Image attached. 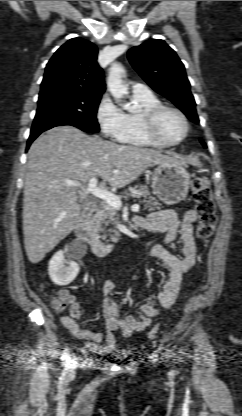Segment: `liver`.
Listing matches in <instances>:
<instances>
[{"label": "liver", "instance_id": "obj_1", "mask_svg": "<svg viewBox=\"0 0 242 416\" xmlns=\"http://www.w3.org/2000/svg\"><path fill=\"white\" fill-rule=\"evenodd\" d=\"M28 156L23 232L28 259L34 264L75 228L84 208L77 190L90 179L100 177L102 185L121 188L149 167L183 164L156 150L88 136L73 126L48 130L32 143Z\"/></svg>", "mask_w": 242, "mask_h": 416}]
</instances>
